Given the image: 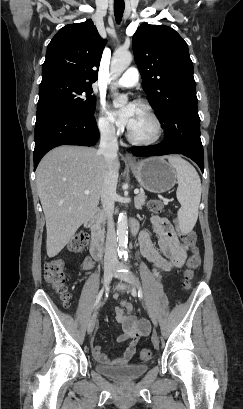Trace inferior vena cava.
<instances>
[{
    "label": "inferior vena cava",
    "instance_id": "obj_1",
    "mask_svg": "<svg viewBox=\"0 0 243 409\" xmlns=\"http://www.w3.org/2000/svg\"><path fill=\"white\" fill-rule=\"evenodd\" d=\"M118 142L116 130L111 125H105L101 129V139L98 153L102 154L106 162V171L101 192V203L107 218V235L105 244V264L117 262V241L113 220L114 203L116 199V187L118 175L113 169V162L117 158Z\"/></svg>",
    "mask_w": 243,
    "mask_h": 409
}]
</instances>
